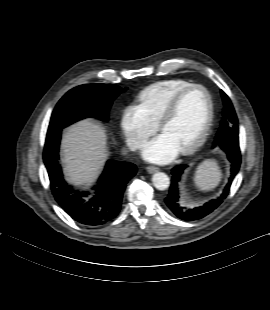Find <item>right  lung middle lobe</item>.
<instances>
[{
    "label": "right lung middle lobe",
    "mask_w": 270,
    "mask_h": 310,
    "mask_svg": "<svg viewBox=\"0 0 270 310\" xmlns=\"http://www.w3.org/2000/svg\"><path fill=\"white\" fill-rule=\"evenodd\" d=\"M125 90L113 84H85L73 88L57 103L49 128H64L86 117L105 121L113 100Z\"/></svg>",
    "instance_id": "obj_1"
}]
</instances>
